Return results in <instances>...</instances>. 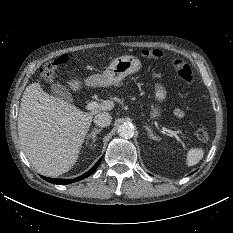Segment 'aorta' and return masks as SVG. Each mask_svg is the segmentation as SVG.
Returning a JSON list of instances; mask_svg holds the SVG:
<instances>
[{
	"label": "aorta",
	"instance_id": "762f6f07",
	"mask_svg": "<svg viewBox=\"0 0 233 233\" xmlns=\"http://www.w3.org/2000/svg\"><path fill=\"white\" fill-rule=\"evenodd\" d=\"M118 134L125 139L131 138L134 135V126L130 123L121 124L118 127Z\"/></svg>",
	"mask_w": 233,
	"mask_h": 233
}]
</instances>
